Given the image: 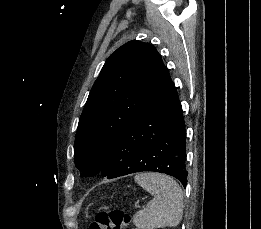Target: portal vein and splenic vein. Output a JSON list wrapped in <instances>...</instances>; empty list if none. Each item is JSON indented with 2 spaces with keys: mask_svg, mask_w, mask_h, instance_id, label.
<instances>
[{
  "mask_svg": "<svg viewBox=\"0 0 261 229\" xmlns=\"http://www.w3.org/2000/svg\"><path fill=\"white\" fill-rule=\"evenodd\" d=\"M131 207H132V208H138V207H139V204H138V203H132V204H131Z\"/></svg>",
  "mask_w": 261,
  "mask_h": 229,
  "instance_id": "18ae733b",
  "label": "portal vein and splenic vein"
}]
</instances>
